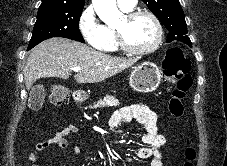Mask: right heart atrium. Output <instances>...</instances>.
Masks as SVG:
<instances>
[{
	"label": "right heart atrium",
	"mask_w": 227,
	"mask_h": 166,
	"mask_svg": "<svg viewBox=\"0 0 227 166\" xmlns=\"http://www.w3.org/2000/svg\"><path fill=\"white\" fill-rule=\"evenodd\" d=\"M78 27L85 41L93 48L107 51L108 34L105 25L101 23L92 5L87 6L81 13Z\"/></svg>",
	"instance_id": "1"
}]
</instances>
